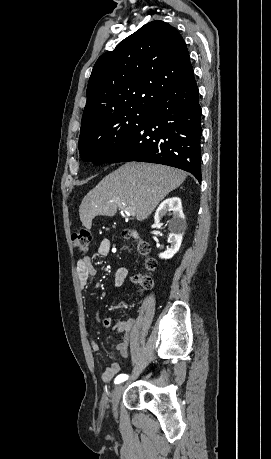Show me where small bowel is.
<instances>
[{"label":"small bowel","mask_w":271,"mask_h":459,"mask_svg":"<svg viewBox=\"0 0 271 459\" xmlns=\"http://www.w3.org/2000/svg\"><path fill=\"white\" fill-rule=\"evenodd\" d=\"M111 251V244L108 239H102L97 247V254L99 256L105 257L109 255ZM76 271L78 275L79 284L82 288L87 286V283L90 277L96 275V269L92 264V259L89 256L81 257L76 264ZM128 270L126 268H120L114 276V285L115 287H120L124 283L125 278L127 277ZM103 327L109 328L112 324V317H106L103 322ZM134 324L133 319H127L125 321H120L117 324V332L120 333V340L116 344V350L120 353L122 357H127L129 355V347L131 344V330ZM90 347L93 351H99L100 345L96 339L90 341ZM122 366L119 362H113L102 375V379L105 384L111 382V380L121 371Z\"/></svg>","instance_id":"c3829d8e"}]
</instances>
